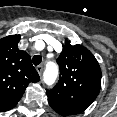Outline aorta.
Listing matches in <instances>:
<instances>
[{
  "instance_id": "762f6f07",
  "label": "aorta",
  "mask_w": 117,
  "mask_h": 117,
  "mask_svg": "<svg viewBox=\"0 0 117 117\" xmlns=\"http://www.w3.org/2000/svg\"><path fill=\"white\" fill-rule=\"evenodd\" d=\"M58 77V67L55 63L50 62L46 66V70L44 72V82L48 85H52Z\"/></svg>"
}]
</instances>
